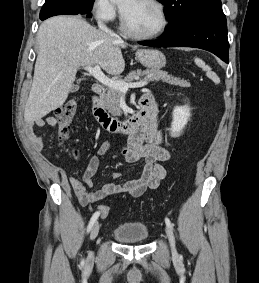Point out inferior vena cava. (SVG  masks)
<instances>
[{
  "label": "inferior vena cava",
  "mask_w": 259,
  "mask_h": 283,
  "mask_svg": "<svg viewBox=\"0 0 259 283\" xmlns=\"http://www.w3.org/2000/svg\"><path fill=\"white\" fill-rule=\"evenodd\" d=\"M98 27L100 30H102L103 32L107 33L108 35H110L111 37H115L118 38V36L112 32L104 23L101 19H99L98 21Z\"/></svg>",
  "instance_id": "obj_1"
}]
</instances>
